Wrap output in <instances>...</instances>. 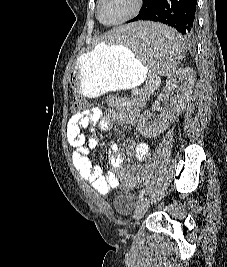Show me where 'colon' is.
I'll list each match as a JSON object with an SVG mask.
<instances>
[{
	"label": "colon",
	"instance_id": "1",
	"mask_svg": "<svg viewBox=\"0 0 227 267\" xmlns=\"http://www.w3.org/2000/svg\"><path fill=\"white\" fill-rule=\"evenodd\" d=\"M84 101L82 98H74L72 105L68 111L69 115H80L83 109ZM126 192H135V187H126Z\"/></svg>",
	"mask_w": 227,
	"mask_h": 267
}]
</instances>
